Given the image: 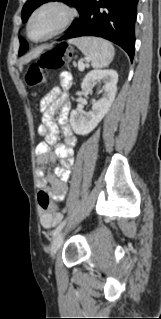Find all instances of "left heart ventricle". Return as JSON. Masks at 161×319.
<instances>
[{
  "label": "left heart ventricle",
  "instance_id": "b2bd125f",
  "mask_svg": "<svg viewBox=\"0 0 161 319\" xmlns=\"http://www.w3.org/2000/svg\"><path fill=\"white\" fill-rule=\"evenodd\" d=\"M61 12L57 9H49L37 16L31 25V35L39 38L52 31L60 20Z\"/></svg>",
  "mask_w": 161,
  "mask_h": 319
}]
</instances>
